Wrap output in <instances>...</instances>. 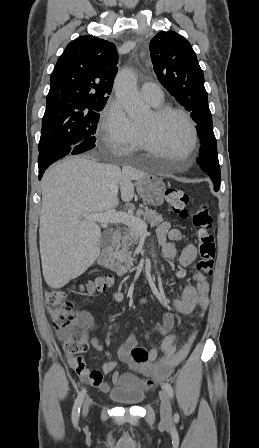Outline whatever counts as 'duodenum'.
Here are the masks:
<instances>
[{
  "instance_id": "obj_1",
  "label": "duodenum",
  "mask_w": 259,
  "mask_h": 448,
  "mask_svg": "<svg viewBox=\"0 0 259 448\" xmlns=\"http://www.w3.org/2000/svg\"><path fill=\"white\" fill-rule=\"evenodd\" d=\"M120 237V231H113L111 233L108 244L99 254L98 263L116 273L118 276H123L126 274L127 269L114 256V248L119 242Z\"/></svg>"
}]
</instances>
